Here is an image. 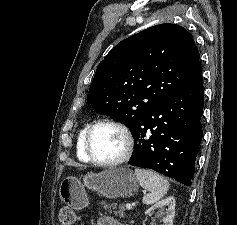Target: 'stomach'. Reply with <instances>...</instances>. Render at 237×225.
<instances>
[{
	"label": "stomach",
	"mask_w": 237,
	"mask_h": 225,
	"mask_svg": "<svg viewBox=\"0 0 237 225\" xmlns=\"http://www.w3.org/2000/svg\"><path fill=\"white\" fill-rule=\"evenodd\" d=\"M86 188L106 198L115 199L133 196L139 184L130 169L110 167L99 173H87L82 181L76 177H66L60 183L59 196L72 209L81 210L88 205Z\"/></svg>",
	"instance_id": "stomach-1"
}]
</instances>
